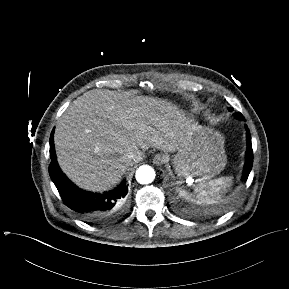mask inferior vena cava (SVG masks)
Listing matches in <instances>:
<instances>
[{
  "label": "inferior vena cava",
  "instance_id": "obj_1",
  "mask_svg": "<svg viewBox=\"0 0 289 289\" xmlns=\"http://www.w3.org/2000/svg\"><path fill=\"white\" fill-rule=\"evenodd\" d=\"M142 152L141 151H134L130 152L125 156V160L129 162L130 164H134L136 162H139L142 160Z\"/></svg>",
  "mask_w": 289,
  "mask_h": 289
}]
</instances>
